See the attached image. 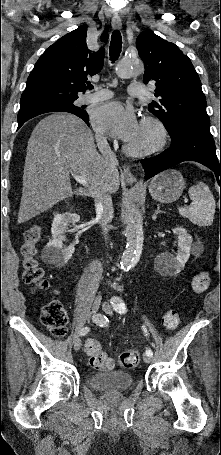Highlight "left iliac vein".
Returning a JSON list of instances; mask_svg holds the SVG:
<instances>
[{
	"instance_id": "4c4485c4",
	"label": "left iliac vein",
	"mask_w": 221,
	"mask_h": 455,
	"mask_svg": "<svg viewBox=\"0 0 221 455\" xmlns=\"http://www.w3.org/2000/svg\"><path fill=\"white\" fill-rule=\"evenodd\" d=\"M102 309L104 310V312H106L109 315H111L113 313L111 305L109 303H107V302H104L102 304ZM143 360L146 363H150L152 361V358H151V356H149L147 354H144L143 355Z\"/></svg>"
}]
</instances>
